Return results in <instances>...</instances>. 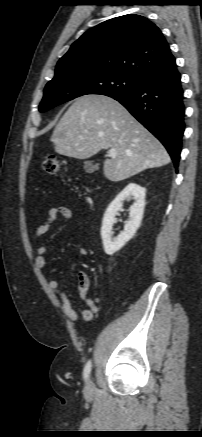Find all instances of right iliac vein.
<instances>
[{
	"mask_svg": "<svg viewBox=\"0 0 202 437\" xmlns=\"http://www.w3.org/2000/svg\"><path fill=\"white\" fill-rule=\"evenodd\" d=\"M94 391V386L91 381H89L86 385V392L91 394Z\"/></svg>",
	"mask_w": 202,
	"mask_h": 437,
	"instance_id": "63e3f726",
	"label": "right iliac vein"
}]
</instances>
